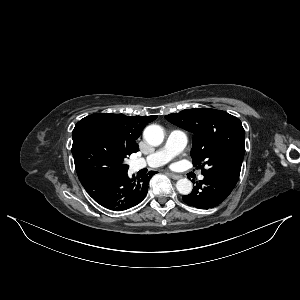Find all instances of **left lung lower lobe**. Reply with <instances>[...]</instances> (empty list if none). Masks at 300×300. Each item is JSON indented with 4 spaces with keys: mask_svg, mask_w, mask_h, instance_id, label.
Wrapping results in <instances>:
<instances>
[{
    "mask_svg": "<svg viewBox=\"0 0 300 300\" xmlns=\"http://www.w3.org/2000/svg\"><path fill=\"white\" fill-rule=\"evenodd\" d=\"M234 187V184L224 179L204 176L203 180L196 182L192 192L183 196L182 199L189 206L210 209L225 200Z\"/></svg>",
    "mask_w": 300,
    "mask_h": 300,
    "instance_id": "obj_1",
    "label": "left lung lower lobe"
}]
</instances>
